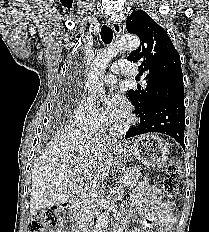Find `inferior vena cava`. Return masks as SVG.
<instances>
[{"label":"inferior vena cava","instance_id":"obj_1","mask_svg":"<svg viewBox=\"0 0 209 232\" xmlns=\"http://www.w3.org/2000/svg\"><path fill=\"white\" fill-rule=\"evenodd\" d=\"M98 176L90 179L86 185L80 200L79 231L91 232L94 225V211L96 200L99 195Z\"/></svg>","mask_w":209,"mask_h":232}]
</instances>
